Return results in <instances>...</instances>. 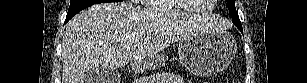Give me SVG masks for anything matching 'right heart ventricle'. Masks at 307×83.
<instances>
[{
    "mask_svg": "<svg viewBox=\"0 0 307 83\" xmlns=\"http://www.w3.org/2000/svg\"><path fill=\"white\" fill-rule=\"evenodd\" d=\"M150 9L156 10L158 12H176V11H185L181 7H179L174 0H156L150 1L149 6ZM210 10L212 8L211 5L207 6Z\"/></svg>",
    "mask_w": 307,
    "mask_h": 83,
    "instance_id": "obj_1",
    "label": "right heart ventricle"
}]
</instances>
